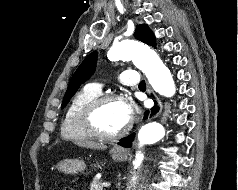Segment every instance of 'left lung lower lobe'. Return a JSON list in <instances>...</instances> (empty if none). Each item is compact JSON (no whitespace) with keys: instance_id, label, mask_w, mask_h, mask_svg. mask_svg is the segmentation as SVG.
I'll list each match as a JSON object with an SVG mask.
<instances>
[{"instance_id":"obj_1","label":"left lung lower lobe","mask_w":238,"mask_h":190,"mask_svg":"<svg viewBox=\"0 0 238 190\" xmlns=\"http://www.w3.org/2000/svg\"><path fill=\"white\" fill-rule=\"evenodd\" d=\"M156 112H158V108H152L151 116L154 115ZM147 115H148V112L145 113L144 118H147ZM133 138H134V134L122 139V141H120L118 144L123 147H130Z\"/></svg>"}]
</instances>
